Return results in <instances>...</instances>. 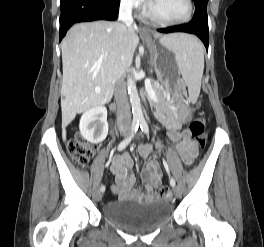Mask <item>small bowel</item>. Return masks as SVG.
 Instances as JSON below:
<instances>
[{"label":"small bowel","instance_id":"small-bowel-1","mask_svg":"<svg viewBox=\"0 0 264 247\" xmlns=\"http://www.w3.org/2000/svg\"><path fill=\"white\" fill-rule=\"evenodd\" d=\"M159 118L168 128V140L176 145L178 153L187 166L193 163L197 155V145L190 137L188 131H181V121L174 119L163 112H159ZM162 148V143L155 145L147 144L139 148V154L145 158L149 155L153 148ZM132 168V160L128 154L124 153L114 158L111 169L115 175L116 185L112 188L114 194H117L121 199H126L130 196L144 199H153L156 187L160 184L162 174L159 165L152 161L141 173L143 180L147 182L145 191H131L135 184V177L129 171Z\"/></svg>","mask_w":264,"mask_h":247}]
</instances>
